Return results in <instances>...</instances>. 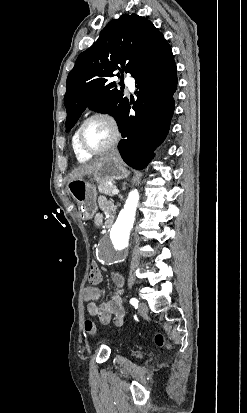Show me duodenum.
Here are the masks:
<instances>
[{"label":"duodenum","mask_w":247,"mask_h":413,"mask_svg":"<svg viewBox=\"0 0 247 413\" xmlns=\"http://www.w3.org/2000/svg\"><path fill=\"white\" fill-rule=\"evenodd\" d=\"M111 224H112V222L109 220V221L106 222L105 226H106L107 228H109V227L111 226Z\"/></svg>","instance_id":"410a0bca"}]
</instances>
